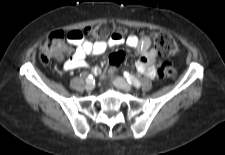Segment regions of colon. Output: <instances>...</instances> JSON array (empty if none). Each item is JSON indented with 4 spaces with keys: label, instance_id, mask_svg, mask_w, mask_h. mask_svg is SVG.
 Instances as JSON below:
<instances>
[{
    "label": "colon",
    "instance_id": "obj_1",
    "mask_svg": "<svg viewBox=\"0 0 225 155\" xmlns=\"http://www.w3.org/2000/svg\"><path fill=\"white\" fill-rule=\"evenodd\" d=\"M86 39L101 41L108 37H125L126 30L116 26L109 21H103L98 24L86 27L82 30ZM68 33V32H67ZM67 33L61 30L52 32L42 43L39 52V59L43 64H48L52 58L60 57L67 50ZM136 34H141L137 31ZM152 41L155 48L165 56H173L178 53L179 47L176 40L166 32H154ZM122 59L121 53H116L110 57V61L104 72L101 74V81L108 83L112 78L113 72L118 68L119 62ZM152 67L158 72L161 79H173L177 75L176 69L169 63H164L157 59L153 62Z\"/></svg>",
    "mask_w": 225,
    "mask_h": 155
}]
</instances>
